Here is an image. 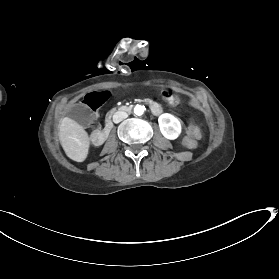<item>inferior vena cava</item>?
Returning <instances> with one entry per match:
<instances>
[{"instance_id":"1","label":"inferior vena cava","mask_w":279,"mask_h":279,"mask_svg":"<svg viewBox=\"0 0 279 279\" xmlns=\"http://www.w3.org/2000/svg\"><path fill=\"white\" fill-rule=\"evenodd\" d=\"M128 115L126 112H122V111H118L115 113V115H113V121L115 123H119L120 121H122V119L124 118H127Z\"/></svg>"}]
</instances>
